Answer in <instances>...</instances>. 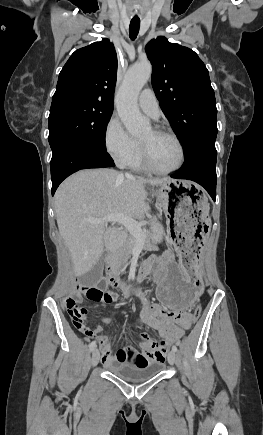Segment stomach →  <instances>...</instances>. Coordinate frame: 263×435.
I'll list each match as a JSON object with an SVG mask.
<instances>
[{"mask_svg":"<svg viewBox=\"0 0 263 435\" xmlns=\"http://www.w3.org/2000/svg\"><path fill=\"white\" fill-rule=\"evenodd\" d=\"M168 221L176 258H163L160 267L147 273L153 282L158 305L167 310H189L196 305L204 288L205 274L200 267V247L207 246L212 233V216H208V199L201 188L188 180H171L153 191Z\"/></svg>","mask_w":263,"mask_h":435,"instance_id":"obj_1","label":"stomach"}]
</instances>
